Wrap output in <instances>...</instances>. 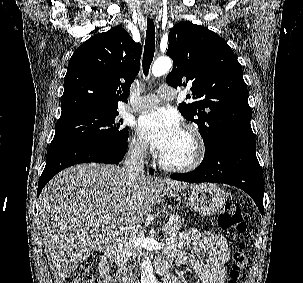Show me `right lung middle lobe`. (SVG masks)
Wrapping results in <instances>:
<instances>
[{
	"label": "right lung middle lobe",
	"instance_id": "right-lung-middle-lobe-1",
	"mask_svg": "<svg viewBox=\"0 0 303 283\" xmlns=\"http://www.w3.org/2000/svg\"><path fill=\"white\" fill-rule=\"evenodd\" d=\"M118 112L81 111L60 116L50 145L81 142L122 147L127 143L128 131L120 126Z\"/></svg>",
	"mask_w": 303,
	"mask_h": 283
}]
</instances>
